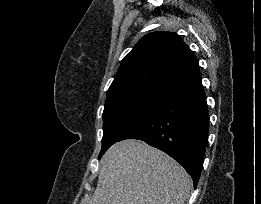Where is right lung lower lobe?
I'll return each mask as SVG.
<instances>
[{
    "label": "right lung lower lobe",
    "mask_w": 261,
    "mask_h": 204,
    "mask_svg": "<svg viewBox=\"0 0 261 204\" xmlns=\"http://www.w3.org/2000/svg\"><path fill=\"white\" fill-rule=\"evenodd\" d=\"M202 75L169 90L147 115L124 132L118 141L139 139L179 162L193 178L196 188L204 161L209 114Z\"/></svg>",
    "instance_id": "obj_1"
}]
</instances>
